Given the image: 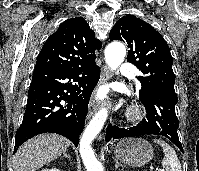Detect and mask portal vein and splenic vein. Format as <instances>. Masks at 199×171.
Returning a JSON list of instances; mask_svg holds the SVG:
<instances>
[{"instance_id":"1","label":"portal vein and splenic vein","mask_w":199,"mask_h":171,"mask_svg":"<svg viewBox=\"0 0 199 171\" xmlns=\"http://www.w3.org/2000/svg\"><path fill=\"white\" fill-rule=\"evenodd\" d=\"M154 169H155V171H165L164 168H158V167H156V168H154Z\"/></svg>"}]
</instances>
